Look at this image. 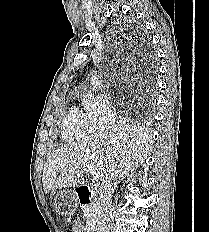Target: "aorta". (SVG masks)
<instances>
[{
  "label": "aorta",
  "instance_id": "obj_1",
  "mask_svg": "<svg viewBox=\"0 0 209 232\" xmlns=\"http://www.w3.org/2000/svg\"><path fill=\"white\" fill-rule=\"evenodd\" d=\"M90 83L92 85V89L93 90H97V88L99 87L100 85V81H99V78L94 74L91 76L90 78Z\"/></svg>",
  "mask_w": 209,
  "mask_h": 232
}]
</instances>
